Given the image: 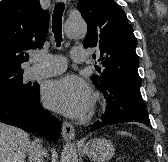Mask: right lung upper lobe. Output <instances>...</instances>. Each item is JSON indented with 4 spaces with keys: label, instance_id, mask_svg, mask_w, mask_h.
I'll list each match as a JSON object with an SVG mask.
<instances>
[{
    "label": "right lung upper lobe",
    "instance_id": "obj_1",
    "mask_svg": "<svg viewBox=\"0 0 168 162\" xmlns=\"http://www.w3.org/2000/svg\"><path fill=\"white\" fill-rule=\"evenodd\" d=\"M49 25V12L39 0L0 2V75L23 72L29 49L42 48Z\"/></svg>",
    "mask_w": 168,
    "mask_h": 162
}]
</instances>
